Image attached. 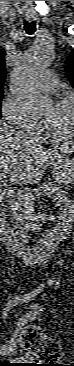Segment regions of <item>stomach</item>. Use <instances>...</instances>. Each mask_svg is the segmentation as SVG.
<instances>
[{
    "mask_svg": "<svg viewBox=\"0 0 74 366\" xmlns=\"http://www.w3.org/2000/svg\"><path fill=\"white\" fill-rule=\"evenodd\" d=\"M52 176L59 184H72L74 182V159L65 155L56 159L52 166Z\"/></svg>",
    "mask_w": 74,
    "mask_h": 366,
    "instance_id": "stomach-1",
    "label": "stomach"
}]
</instances>
